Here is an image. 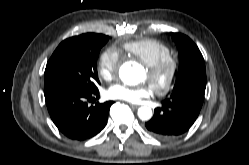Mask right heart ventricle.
<instances>
[{
    "label": "right heart ventricle",
    "mask_w": 249,
    "mask_h": 165,
    "mask_svg": "<svg viewBox=\"0 0 249 165\" xmlns=\"http://www.w3.org/2000/svg\"><path fill=\"white\" fill-rule=\"evenodd\" d=\"M125 51L146 65H151L171 55L170 47L157 39L144 38L123 44Z\"/></svg>",
    "instance_id": "1"
}]
</instances>
